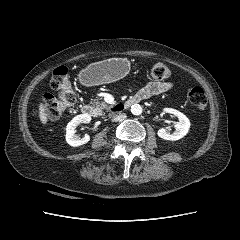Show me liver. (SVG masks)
Masks as SVG:
<instances>
[{
    "label": "liver",
    "instance_id": "1",
    "mask_svg": "<svg viewBox=\"0 0 240 240\" xmlns=\"http://www.w3.org/2000/svg\"><path fill=\"white\" fill-rule=\"evenodd\" d=\"M39 118L42 124H47L48 115L46 113V106L42 103L39 105Z\"/></svg>",
    "mask_w": 240,
    "mask_h": 240
}]
</instances>
